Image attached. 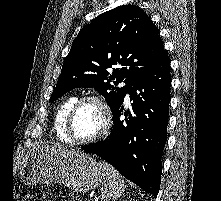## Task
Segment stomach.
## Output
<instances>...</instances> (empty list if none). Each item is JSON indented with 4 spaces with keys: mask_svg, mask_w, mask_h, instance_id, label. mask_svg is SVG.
<instances>
[{
    "mask_svg": "<svg viewBox=\"0 0 221 201\" xmlns=\"http://www.w3.org/2000/svg\"><path fill=\"white\" fill-rule=\"evenodd\" d=\"M19 178L24 184L61 183L75 192H86L99 187L106 176L100 164L81 151L39 149L25 159Z\"/></svg>",
    "mask_w": 221,
    "mask_h": 201,
    "instance_id": "obj_1",
    "label": "stomach"
}]
</instances>
